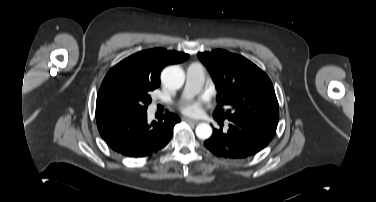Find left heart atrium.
I'll use <instances>...</instances> for the list:
<instances>
[{"mask_svg":"<svg viewBox=\"0 0 376 202\" xmlns=\"http://www.w3.org/2000/svg\"><path fill=\"white\" fill-rule=\"evenodd\" d=\"M182 111L188 115H198L201 111V101H190L182 106Z\"/></svg>","mask_w":376,"mask_h":202,"instance_id":"1","label":"left heart atrium"}]
</instances>
